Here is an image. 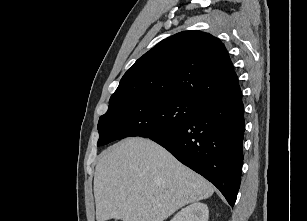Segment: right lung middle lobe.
Instances as JSON below:
<instances>
[{"instance_id": "right-lung-middle-lobe-1", "label": "right lung middle lobe", "mask_w": 307, "mask_h": 221, "mask_svg": "<svg viewBox=\"0 0 307 221\" xmlns=\"http://www.w3.org/2000/svg\"><path fill=\"white\" fill-rule=\"evenodd\" d=\"M201 105L165 96H136L109 103L98 122L97 146L130 136L151 137L188 122Z\"/></svg>"}]
</instances>
